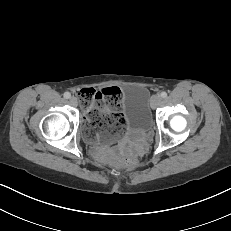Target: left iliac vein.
Listing matches in <instances>:
<instances>
[{
  "label": "left iliac vein",
  "mask_w": 231,
  "mask_h": 231,
  "mask_svg": "<svg viewBox=\"0 0 231 231\" xmlns=\"http://www.w3.org/2000/svg\"><path fill=\"white\" fill-rule=\"evenodd\" d=\"M161 103V98L159 95H153L151 98V107L152 109L157 108Z\"/></svg>",
  "instance_id": "1"
}]
</instances>
